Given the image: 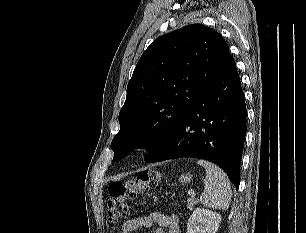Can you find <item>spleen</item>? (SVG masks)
Here are the masks:
<instances>
[{
    "mask_svg": "<svg viewBox=\"0 0 306 233\" xmlns=\"http://www.w3.org/2000/svg\"><path fill=\"white\" fill-rule=\"evenodd\" d=\"M197 163L206 170L204 180L205 190L200 196L201 203L210 208L228 209L232 191L226 173L215 164L206 160H198Z\"/></svg>",
    "mask_w": 306,
    "mask_h": 233,
    "instance_id": "spleen-1",
    "label": "spleen"
}]
</instances>
